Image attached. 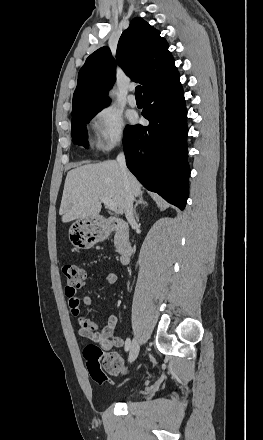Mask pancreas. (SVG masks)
Listing matches in <instances>:
<instances>
[{"label":"pancreas","instance_id":"cf45deb5","mask_svg":"<svg viewBox=\"0 0 263 440\" xmlns=\"http://www.w3.org/2000/svg\"><path fill=\"white\" fill-rule=\"evenodd\" d=\"M117 236H118V234H116V237ZM114 245H115L116 249L118 250L119 249V243H118L117 239L114 240Z\"/></svg>","mask_w":263,"mask_h":440}]
</instances>
